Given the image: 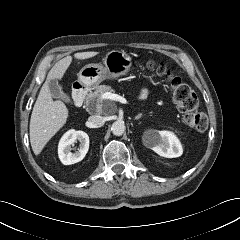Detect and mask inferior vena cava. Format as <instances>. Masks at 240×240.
Instances as JSON below:
<instances>
[{"label":"inferior vena cava","mask_w":240,"mask_h":240,"mask_svg":"<svg viewBox=\"0 0 240 240\" xmlns=\"http://www.w3.org/2000/svg\"><path fill=\"white\" fill-rule=\"evenodd\" d=\"M105 117L100 115H92L88 118L89 124L93 128L101 127L105 123Z\"/></svg>","instance_id":"602c4592"}]
</instances>
